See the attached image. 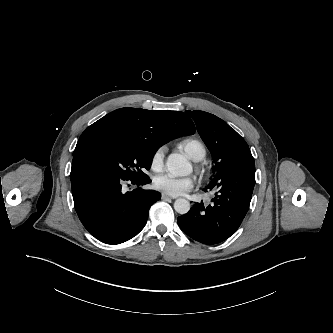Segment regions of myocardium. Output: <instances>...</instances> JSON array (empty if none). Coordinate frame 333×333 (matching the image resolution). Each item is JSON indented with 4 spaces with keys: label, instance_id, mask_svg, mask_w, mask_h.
<instances>
[{
    "label": "myocardium",
    "instance_id": "f54148a6",
    "mask_svg": "<svg viewBox=\"0 0 333 333\" xmlns=\"http://www.w3.org/2000/svg\"><path fill=\"white\" fill-rule=\"evenodd\" d=\"M202 165L201 164H195V171L197 174H201L202 173Z\"/></svg>",
    "mask_w": 333,
    "mask_h": 333
}]
</instances>
